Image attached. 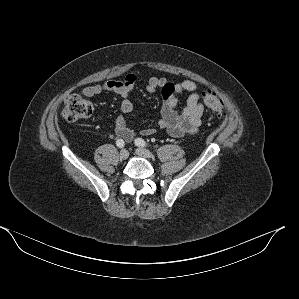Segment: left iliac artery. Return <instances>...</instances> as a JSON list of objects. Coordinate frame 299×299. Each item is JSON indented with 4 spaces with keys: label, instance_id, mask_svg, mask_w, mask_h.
<instances>
[{
    "label": "left iliac artery",
    "instance_id": "obj_1",
    "mask_svg": "<svg viewBox=\"0 0 299 299\" xmlns=\"http://www.w3.org/2000/svg\"><path fill=\"white\" fill-rule=\"evenodd\" d=\"M135 144L140 147H146L147 143L142 138L135 139Z\"/></svg>",
    "mask_w": 299,
    "mask_h": 299
}]
</instances>
